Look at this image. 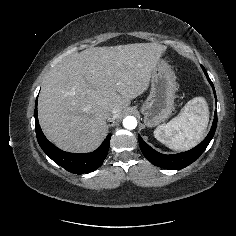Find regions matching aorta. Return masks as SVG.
Instances as JSON below:
<instances>
[{
    "instance_id": "aorta-1",
    "label": "aorta",
    "mask_w": 236,
    "mask_h": 236,
    "mask_svg": "<svg viewBox=\"0 0 236 236\" xmlns=\"http://www.w3.org/2000/svg\"><path fill=\"white\" fill-rule=\"evenodd\" d=\"M123 126L128 130H133L137 126V119L134 116H127L123 119Z\"/></svg>"
}]
</instances>
